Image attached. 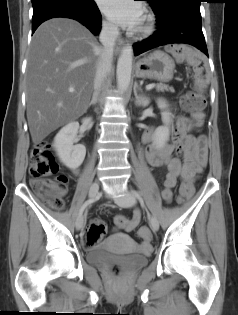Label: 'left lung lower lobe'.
Masks as SVG:
<instances>
[{
    "label": "left lung lower lobe",
    "mask_w": 238,
    "mask_h": 315,
    "mask_svg": "<svg viewBox=\"0 0 238 315\" xmlns=\"http://www.w3.org/2000/svg\"><path fill=\"white\" fill-rule=\"evenodd\" d=\"M200 2L201 0H173L158 9H153L157 16L158 30L149 38L134 45V55L161 45L186 43L208 56L202 32Z\"/></svg>",
    "instance_id": "0a47b994"
}]
</instances>
